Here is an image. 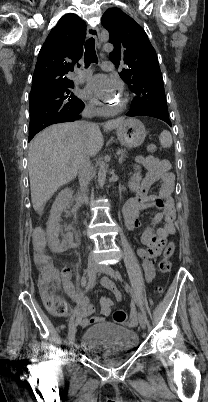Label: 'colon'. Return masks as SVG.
Listing matches in <instances>:
<instances>
[{
    "instance_id": "obj_1",
    "label": "colon",
    "mask_w": 208,
    "mask_h": 402,
    "mask_svg": "<svg viewBox=\"0 0 208 402\" xmlns=\"http://www.w3.org/2000/svg\"><path fill=\"white\" fill-rule=\"evenodd\" d=\"M147 150L150 153L156 152V146L149 144ZM48 235L46 232H37L33 238V243L37 245L38 249L33 252V257L36 259V269L39 270L41 282L38 283V293L43 295L44 307L50 308V314H67L69 312L68 301L66 299H59L60 286L63 285V278L56 272L53 262H49L47 252L45 250L46 240ZM175 244L168 243L163 256L158 263V271L161 275L165 276L171 272L172 263L171 257L174 253ZM162 291V288H158ZM113 320L117 324L125 325L127 323V314L123 310H116L113 314Z\"/></svg>"
}]
</instances>
